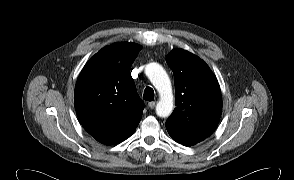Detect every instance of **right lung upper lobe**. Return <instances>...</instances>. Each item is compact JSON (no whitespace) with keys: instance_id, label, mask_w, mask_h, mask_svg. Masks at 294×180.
I'll use <instances>...</instances> for the list:
<instances>
[{"instance_id":"right-lung-upper-lobe-1","label":"right lung upper lobe","mask_w":294,"mask_h":180,"mask_svg":"<svg viewBox=\"0 0 294 180\" xmlns=\"http://www.w3.org/2000/svg\"><path fill=\"white\" fill-rule=\"evenodd\" d=\"M140 49L128 42L106 46L86 63L77 80L74 100L78 118L103 144H117L141 120L144 104L130 74Z\"/></svg>"}]
</instances>
